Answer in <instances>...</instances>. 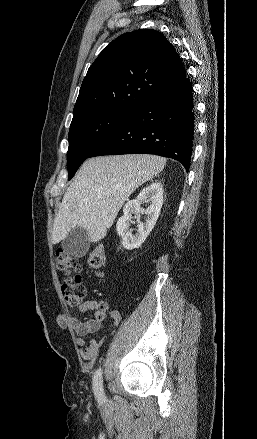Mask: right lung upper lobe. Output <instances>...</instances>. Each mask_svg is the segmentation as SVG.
I'll return each mask as SVG.
<instances>
[{
    "label": "right lung upper lobe",
    "mask_w": 257,
    "mask_h": 439,
    "mask_svg": "<svg viewBox=\"0 0 257 439\" xmlns=\"http://www.w3.org/2000/svg\"><path fill=\"white\" fill-rule=\"evenodd\" d=\"M185 77L180 56L163 34L153 29L125 33L89 67L74 117L98 110L133 113L150 97Z\"/></svg>",
    "instance_id": "right-lung-upper-lobe-1"
}]
</instances>
